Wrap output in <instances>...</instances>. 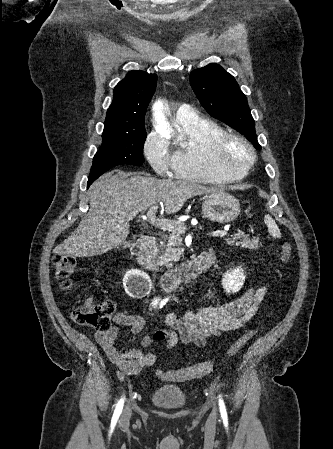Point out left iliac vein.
<instances>
[{
	"label": "left iliac vein",
	"instance_id": "left-iliac-vein-1",
	"mask_svg": "<svg viewBox=\"0 0 333 449\" xmlns=\"http://www.w3.org/2000/svg\"><path fill=\"white\" fill-rule=\"evenodd\" d=\"M217 416V411L215 408H213L212 413H211V419H215Z\"/></svg>",
	"mask_w": 333,
	"mask_h": 449
}]
</instances>
